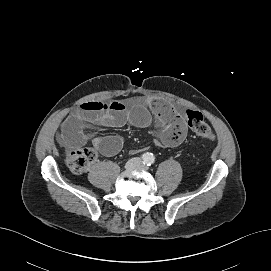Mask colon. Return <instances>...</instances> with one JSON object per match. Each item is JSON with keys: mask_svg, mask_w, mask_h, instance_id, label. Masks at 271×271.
Returning a JSON list of instances; mask_svg holds the SVG:
<instances>
[{"mask_svg": "<svg viewBox=\"0 0 271 271\" xmlns=\"http://www.w3.org/2000/svg\"><path fill=\"white\" fill-rule=\"evenodd\" d=\"M185 117L190 129L200 138L208 141L215 139V134L204 116L193 110H187ZM96 158V152L91 148H81L71 151L66 158L67 167L74 174L86 172Z\"/></svg>", "mask_w": 271, "mask_h": 271, "instance_id": "5ec220e1", "label": "colon"}]
</instances>
